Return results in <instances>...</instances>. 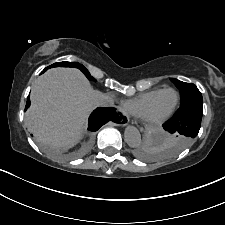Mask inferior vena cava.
Instances as JSON below:
<instances>
[{
  "label": "inferior vena cava",
  "mask_w": 225,
  "mask_h": 225,
  "mask_svg": "<svg viewBox=\"0 0 225 225\" xmlns=\"http://www.w3.org/2000/svg\"><path fill=\"white\" fill-rule=\"evenodd\" d=\"M94 104L97 107H109L113 105V99L107 95H97L94 99Z\"/></svg>",
  "instance_id": "602c4592"
}]
</instances>
